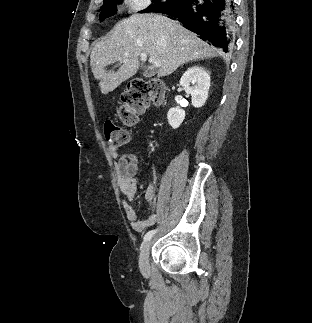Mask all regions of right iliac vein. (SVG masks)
Here are the masks:
<instances>
[{"mask_svg":"<svg viewBox=\"0 0 312 323\" xmlns=\"http://www.w3.org/2000/svg\"><path fill=\"white\" fill-rule=\"evenodd\" d=\"M151 241L148 240L144 243L141 249L139 257V267L142 274H147L149 272V250Z\"/></svg>","mask_w":312,"mask_h":323,"instance_id":"right-iliac-vein-1","label":"right iliac vein"}]
</instances>
